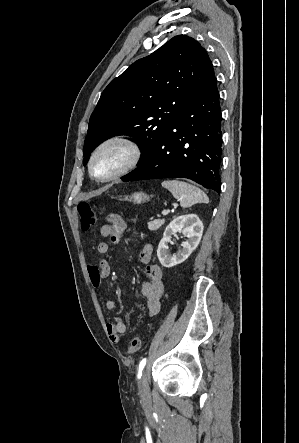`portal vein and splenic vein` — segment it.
I'll return each mask as SVG.
<instances>
[{
    "mask_svg": "<svg viewBox=\"0 0 299 443\" xmlns=\"http://www.w3.org/2000/svg\"><path fill=\"white\" fill-rule=\"evenodd\" d=\"M168 212H169L168 210H163V211H162V215H163V216H166V215L168 214Z\"/></svg>",
    "mask_w": 299,
    "mask_h": 443,
    "instance_id": "portal-vein-and-splenic-vein-1",
    "label": "portal vein and splenic vein"
}]
</instances>
